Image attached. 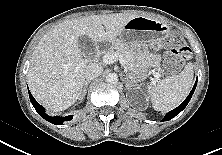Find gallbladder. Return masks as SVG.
I'll list each match as a JSON object with an SVG mask.
<instances>
[{
  "label": "gallbladder",
  "instance_id": "1",
  "mask_svg": "<svg viewBox=\"0 0 222 155\" xmlns=\"http://www.w3.org/2000/svg\"><path fill=\"white\" fill-rule=\"evenodd\" d=\"M78 45L85 57H92L95 53V46L93 41L87 36H79Z\"/></svg>",
  "mask_w": 222,
  "mask_h": 155
}]
</instances>
